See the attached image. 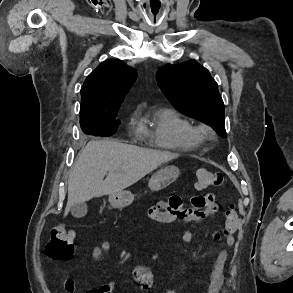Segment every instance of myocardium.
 Instances as JSON below:
<instances>
[{
	"label": "myocardium",
	"mask_w": 293,
	"mask_h": 293,
	"mask_svg": "<svg viewBox=\"0 0 293 293\" xmlns=\"http://www.w3.org/2000/svg\"><path fill=\"white\" fill-rule=\"evenodd\" d=\"M195 131L200 140L213 134L211 127L206 124L196 126Z\"/></svg>",
	"instance_id": "obj_1"
}]
</instances>
